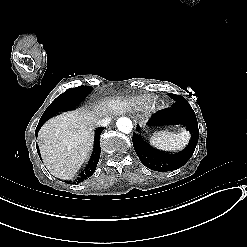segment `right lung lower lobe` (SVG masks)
Returning a JSON list of instances; mask_svg holds the SVG:
<instances>
[{
  "label": "right lung lower lobe",
  "instance_id": "right-lung-lower-lobe-1",
  "mask_svg": "<svg viewBox=\"0 0 247 247\" xmlns=\"http://www.w3.org/2000/svg\"><path fill=\"white\" fill-rule=\"evenodd\" d=\"M47 119H48L47 117H41V119H40V121L36 127V130H35L36 136L38 134V131L40 130V128L42 127V125L44 124V122ZM103 130H104V128H98L96 130L95 145H94L92 155H91L90 160L88 161V164L86 165L85 169L81 172L80 176L77 178V180H76L77 183L89 178L95 172V169L97 167V164H98V161L100 158V152H101L100 135H101ZM37 152H38V155L40 156V152H39L38 147H37Z\"/></svg>",
  "mask_w": 247,
  "mask_h": 247
}]
</instances>
